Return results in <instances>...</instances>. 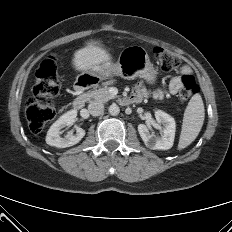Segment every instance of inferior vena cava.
<instances>
[{
	"label": "inferior vena cava",
	"instance_id": "obj_1",
	"mask_svg": "<svg viewBox=\"0 0 232 232\" xmlns=\"http://www.w3.org/2000/svg\"><path fill=\"white\" fill-rule=\"evenodd\" d=\"M88 111L93 116H99L104 113V105L100 102H93L88 105Z\"/></svg>",
	"mask_w": 232,
	"mask_h": 232
}]
</instances>
